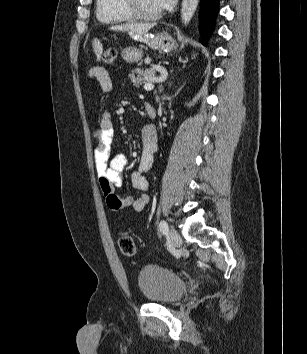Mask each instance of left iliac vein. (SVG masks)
<instances>
[{
  "label": "left iliac vein",
  "mask_w": 307,
  "mask_h": 354,
  "mask_svg": "<svg viewBox=\"0 0 307 354\" xmlns=\"http://www.w3.org/2000/svg\"><path fill=\"white\" fill-rule=\"evenodd\" d=\"M169 237L173 246L178 247L181 244V237L175 229H170Z\"/></svg>",
  "instance_id": "obj_1"
}]
</instances>
